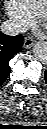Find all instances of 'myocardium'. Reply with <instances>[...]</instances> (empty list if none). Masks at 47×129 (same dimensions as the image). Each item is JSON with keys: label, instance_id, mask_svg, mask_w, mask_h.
<instances>
[{"label": "myocardium", "instance_id": "myocardium-1", "mask_svg": "<svg viewBox=\"0 0 47 129\" xmlns=\"http://www.w3.org/2000/svg\"><path fill=\"white\" fill-rule=\"evenodd\" d=\"M46 7H47V0L44 2L42 8L40 9V11L36 15V21L37 22H42L43 21L44 14L46 12Z\"/></svg>", "mask_w": 47, "mask_h": 129}]
</instances>
